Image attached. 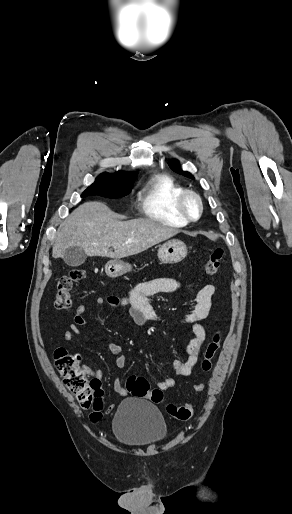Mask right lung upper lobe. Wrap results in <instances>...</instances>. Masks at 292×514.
Wrapping results in <instances>:
<instances>
[{"mask_svg":"<svg viewBox=\"0 0 292 514\" xmlns=\"http://www.w3.org/2000/svg\"><path fill=\"white\" fill-rule=\"evenodd\" d=\"M137 172H117V173H103L97 177V179H106V180H120V181H131L135 180L137 177Z\"/></svg>","mask_w":292,"mask_h":514,"instance_id":"cb5924a9","label":"right lung upper lobe"}]
</instances>
